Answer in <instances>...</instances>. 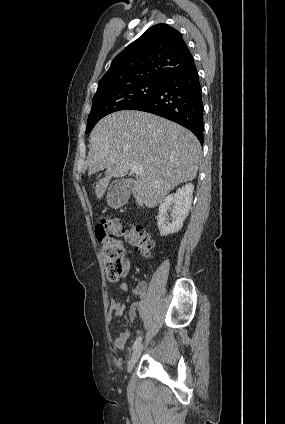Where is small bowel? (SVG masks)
Segmentation results:
<instances>
[{
	"mask_svg": "<svg viewBox=\"0 0 285 424\" xmlns=\"http://www.w3.org/2000/svg\"><path fill=\"white\" fill-rule=\"evenodd\" d=\"M129 270V264H126L124 273H127ZM117 288L121 292H126L128 290V286L125 282L117 283ZM146 283L144 281L140 282L136 287L132 290V295L136 298V300L132 303L129 311H128V319L129 321H133L138 316H143V314L148 309V301L145 295ZM125 305L115 299L112 298L109 305L108 316L110 320H114L125 313ZM129 338V331L123 330L118 332L113 338L112 345L115 349H123L126 345V342Z\"/></svg>",
	"mask_w": 285,
	"mask_h": 424,
	"instance_id": "c3829d8e",
	"label": "small bowel"
}]
</instances>
